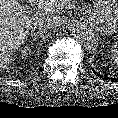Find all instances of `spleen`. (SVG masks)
<instances>
[{"mask_svg":"<svg viewBox=\"0 0 118 118\" xmlns=\"http://www.w3.org/2000/svg\"><path fill=\"white\" fill-rule=\"evenodd\" d=\"M111 58L118 66V44H115L111 47Z\"/></svg>","mask_w":118,"mask_h":118,"instance_id":"3e777b00","label":"spleen"}]
</instances>
